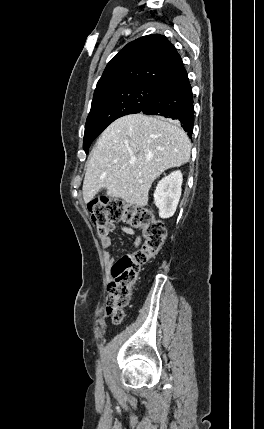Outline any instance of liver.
<instances>
[{"label":"liver","mask_w":264,"mask_h":429,"mask_svg":"<svg viewBox=\"0 0 264 429\" xmlns=\"http://www.w3.org/2000/svg\"><path fill=\"white\" fill-rule=\"evenodd\" d=\"M191 142L177 121L130 114L101 134L87 162L83 198L89 203L101 189L130 205L144 207L153 181L190 159ZM135 160V164L130 162ZM132 234L130 228H123Z\"/></svg>","instance_id":"obj_1"}]
</instances>
